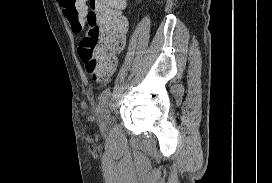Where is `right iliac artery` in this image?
Returning <instances> with one entry per match:
<instances>
[{"label":"right iliac artery","instance_id":"right-iliac-artery-1","mask_svg":"<svg viewBox=\"0 0 272 183\" xmlns=\"http://www.w3.org/2000/svg\"><path fill=\"white\" fill-rule=\"evenodd\" d=\"M110 94H111L110 88H107L102 92V94L99 97L100 103L102 105L106 103Z\"/></svg>","mask_w":272,"mask_h":183}]
</instances>
